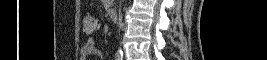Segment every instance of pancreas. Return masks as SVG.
I'll return each mask as SVG.
<instances>
[{"instance_id":"1","label":"pancreas","mask_w":267,"mask_h":60,"mask_svg":"<svg viewBox=\"0 0 267 60\" xmlns=\"http://www.w3.org/2000/svg\"><path fill=\"white\" fill-rule=\"evenodd\" d=\"M102 2H103L104 4L107 3L106 6H105L107 9H109L110 6H111V4H112L111 1H109V0H102Z\"/></svg>"}]
</instances>
